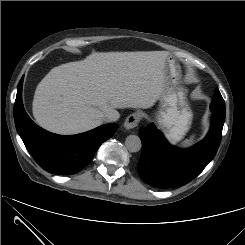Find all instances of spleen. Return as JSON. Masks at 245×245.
<instances>
[{"label":"spleen","mask_w":245,"mask_h":245,"mask_svg":"<svg viewBox=\"0 0 245 245\" xmlns=\"http://www.w3.org/2000/svg\"><path fill=\"white\" fill-rule=\"evenodd\" d=\"M195 143V137L192 136L190 139H186L181 143V146L183 147H189Z\"/></svg>","instance_id":"spleen-1"}]
</instances>
